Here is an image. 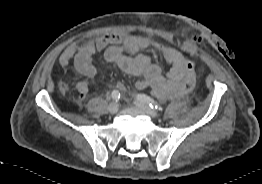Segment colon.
I'll list each match as a JSON object with an SVG mask.
<instances>
[{
	"mask_svg": "<svg viewBox=\"0 0 262 184\" xmlns=\"http://www.w3.org/2000/svg\"><path fill=\"white\" fill-rule=\"evenodd\" d=\"M183 67L185 70V80L183 83L182 87V92L184 94L188 93L194 86L195 84V79H196V63L190 59L188 56L183 55ZM63 90H66V86L62 85L61 86Z\"/></svg>",
	"mask_w": 262,
	"mask_h": 184,
	"instance_id": "5ec220e1",
	"label": "colon"
}]
</instances>
